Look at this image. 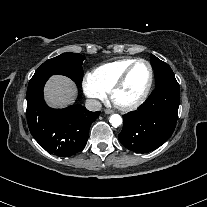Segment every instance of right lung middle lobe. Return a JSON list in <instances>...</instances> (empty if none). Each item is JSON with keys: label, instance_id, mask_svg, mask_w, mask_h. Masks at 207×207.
I'll return each instance as SVG.
<instances>
[{"label": "right lung middle lobe", "instance_id": "dd1d6c3e", "mask_svg": "<svg viewBox=\"0 0 207 207\" xmlns=\"http://www.w3.org/2000/svg\"><path fill=\"white\" fill-rule=\"evenodd\" d=\"M85 57L76 53H63L44 62L34 73L33 77L40 75L60 74L71 78L77 85L83 79L82 62Z\"/></svg>", "mask_w": 207, "mask_h": 207}]
</instances>
